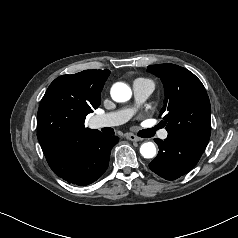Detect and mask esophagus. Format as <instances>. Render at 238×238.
Returning a JSON list of instances; mask_svg holds the SVG:
<instances>
[{"label": "esophagus", "instance_id": "esophagus-1", "mask_svg": "<svg viewBox=\"0 0 238 238\" xmlns=\"http://www.w3.org/2000/svg\"><path fill=\"white\" fill-rule=\"evenodd\" d=\"M125 137H126V139H128L130 141H135V142L141 141V138L137 137L134 134H126Z\"/></svg>", "mask_w": 238, "mask_h": 238}]
</instances>
